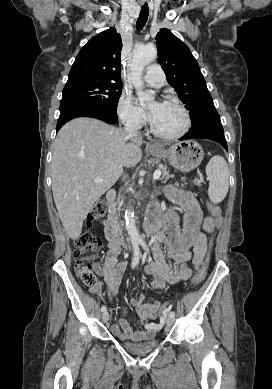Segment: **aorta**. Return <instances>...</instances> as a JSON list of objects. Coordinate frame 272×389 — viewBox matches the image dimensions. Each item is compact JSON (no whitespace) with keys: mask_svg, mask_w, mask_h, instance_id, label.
Listing matches in <instances>:
<instances>
[{"mask_svg":"<svg viewBox=\"0 0 272 389\" xmlns=\"http://www.w3.org/2000/svg\"><path fill=\"white\" fill-rule=\"evenodd\" d=\"M157 57V49L153 45L139 46L133 50V58L130 63L131 81L141 104L153 101L152 94L143 91L142 72L150 62ZM125 226L132 242L139 243L142 238L137 230L134 212L131 207L125 211Z\"/></svg>","mask_w":272,"mask_h":389,"instance_id":"1","label":"aorta"}]
</instances>
